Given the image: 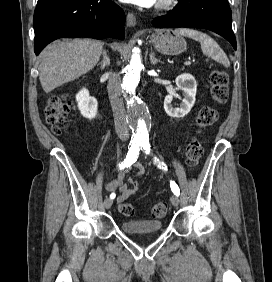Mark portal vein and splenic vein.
Wrapping results in <instances>:
<instances>
[{"label": "portal vein and splenic vein", "instance_id": "1", "mask_svg": "<svg viewBox=\"0 0 272 282\" xmlns=\"http://www.w3.org/2000/svg\"><path fill=\"white\" fill-rule=\"evenodd\" d=\"M184 64H185V65H190V64H191V61H190V60H189V61H186Z\"/></svg>", "mask_w": 272, "mask_h": 282}]
</instances>
